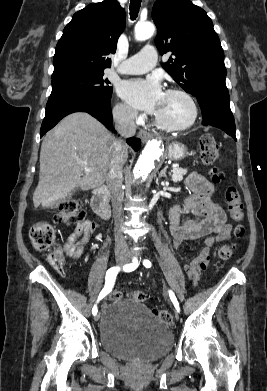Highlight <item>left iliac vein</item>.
Wrapping results in <instances>:
<instances>
[{
  "label": "left iliac vein",
  "mask_w": 267,
  "mask_h": 391,
  "mask_svg": "<svg viewBox=\"0 0 267 391\" xmlns=\"http://www.w3.org/2000/svg\"><path fill=\"white\" fill-rule=\"evenodd\" d=\"M175 318H176L177 320H179V314H178L177 311H175Z\"/></svg>",
  "instance_id": "4c4485c4"
}]
</instances>
